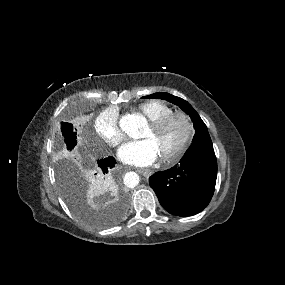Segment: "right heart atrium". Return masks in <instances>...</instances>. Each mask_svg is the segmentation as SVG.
Here are the masks:
<instances>
[{
    "label": "right heart atrium",
    "instance_id": "right-heart-atrium-1",
    "mask_svg": "<svg viewBox=\"0 0 285 285\" xmlns=\"http://www.w3.org/2000/svg\"><path fill=\"white\" fill-rule=\"evenodd\" d=\"M96 135L107 145L116 147L124 140V134L119 125L118 115L113 110L101 112L94 120Z\"/></svg>",
    "mask_w": 285,
    "mask_h": 285
}]
</instances>
